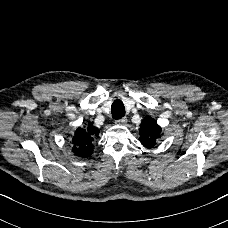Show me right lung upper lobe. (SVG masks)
<instances>
[{"label":"right lung upper lobe","instance_id":"right-lung-upper-lobe-1","mask_svg":"<svg viewBox=\"0 0 228 228\" xmlns=\"http://www.w3.org/2000/svg\"><path fill=\"white\" fill-rule=\"evenodd\" d=\"M99 135V129L92 122L79 127L72 136V151L76 156L88 158L93 153L94 141Z\"/></svg>","mask_w":228,"mask_h":228}]
</instances>
